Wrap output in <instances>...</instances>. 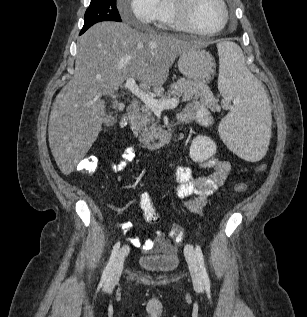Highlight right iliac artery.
<instances>
[{"label": "right iliac artery", "instance_id": "1", "mask_svg": "<svg viewBox=\"0 0 307 317\" xmlns=\"http://www.w3.org/2000/svg\"><path fill=\"white\" fill-rule=\"evenodd\" d=\"M119 248H120V241H118V242L115 244V246L113 247V250H112V252H111L110 259H109V261H108V263H107L106 268H105L104 271H103V274H102V277H101V283H104V282L107 280L108 274H109L110 269H111V267H112V265H113V263H114V260H115V258H116V256H117V253H118Z\"/></svg>", "mask_w": 307, "mask_h": 317}]
</instances>
